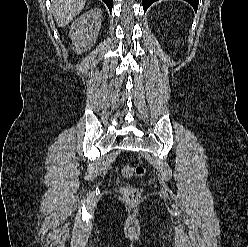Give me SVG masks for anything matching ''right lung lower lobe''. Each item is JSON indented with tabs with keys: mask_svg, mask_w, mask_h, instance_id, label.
Listing matches in <instances>:
<instances>
[{
	"mask_svg": "<svg viewBox=\"0 0 248 247\" xmlns=\"http://www.w3.org/2000/svg\"><path fill=\"white\" fill-rule=\"evenodd\" d=\"M107 7L109 8L110 12L112 10L113 0H103Z\"/></svg>",
	"mask_w": 248,
	"mask_h": 247,
	"instance_id": "right-lung-lower-lobe-1",
	"label": "right lung lower lobe"
}]
</instances>
